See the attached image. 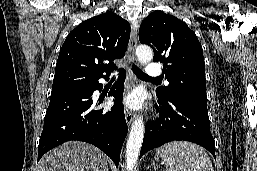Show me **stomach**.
<instances>
[{"mask_svg": "<svg viewBox=\"0 0 257 171\" xmlns=\"http://www.w3.org/2000/svg\"><path fill=\"white\" fill-rule=\"evenodd\" d=\"M159 157H162V158H163L162 154H160V156H159V155H156L155 159H156V160H159Z\"/></svg>", "mask_w": 257, "mask_h": 171, "instance_id": "0dacf381", "label": "stomach"}]
</instances>
